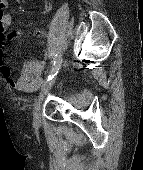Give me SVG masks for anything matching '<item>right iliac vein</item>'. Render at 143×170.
Wrapping results in <instances>:
<instances>
[{"mask_svg": "<svg viewBox=\"0 0 143 170\" xmlns=\"http://www.w3.org/2000/svg\"><path fill=\"white\" fill-rule=\"evenodd\" d=\"M54 82H55V79H52V80H49V81H45L43 83L40 95H39V97L36 100V103L34 105L33 116H34V122L35 123H39V121H40V116H41L40 112H41L42 101H43L45 95L49 92V90L53 86Z\"/></svg>", "mask_w": 143, "mask_h": 170, "instance_id": "63e3f726", "label": "right iliac vein"}]
</instances>
